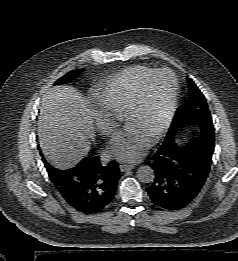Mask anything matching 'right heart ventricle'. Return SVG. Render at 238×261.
<instances>
[{"mask_svg": "<svg viewBox=\"0 0 238 261\" xmlns=\"http://www.w3.org/2000/svg\"><path fill=\"white\" fill-rule=\"evenodd\" d=\"M153 70L143 65L125 69L96 93L99 105L115 116H125L133 102L140 82Z\"/></svg>", "mask_w": 238, "mask_h": 261, "instance_id": "e07e8e85", "label": "right heart ventricle"}]
</instances>
